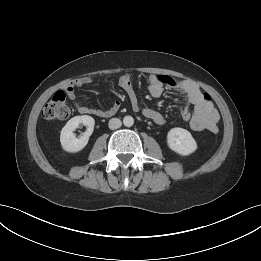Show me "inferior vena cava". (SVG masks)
<instances>
[{"instance_id":"602c4592","label":"inferior vena cava","mask_w":261,"mask_h":261,"mask_svg":"<svg viewBox=\"0 0 261 261\" xmlns=\"http://www.w3.org/2000/svg\"><path fill=\"white\" fill-rule=\"evenodd\" d=\"M121 125H122V122H121V120L118 119V118H112V119H110L109 124H108V126H109V128H110L111 130L118 129V128L121 127Z\"/></svg>"}]
</instances>
